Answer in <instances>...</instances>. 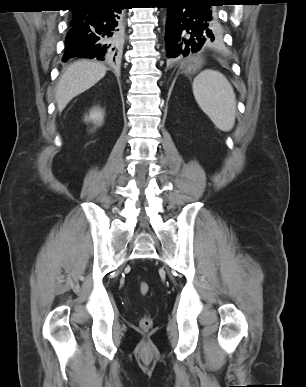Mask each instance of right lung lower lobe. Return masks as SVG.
Returning a JSON list of instances; mask_svg holds the SVG:
<instances>
[{
  "label": "right lung lower lobe",
  "mask_w": 306,
  "mask_h": 387,
  "mask_svg": "<svg viewBox=\"0 0 306 387\" xmlns=\"http://www.w3.org/2000/svg\"><path fill=\"white\" fill-rule=\"evenodd\" d=\"M123 9L122 1L103 0L74 10L62 61L75 57L115 61L121 48Z\"/></svg>",
  "instance_id": "obj_1"
}]
</instances>
